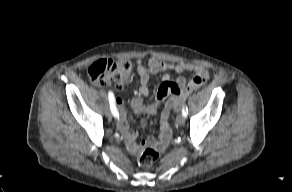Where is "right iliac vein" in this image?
<instances>
[{
  "label": "right iliac vein",
  "instance_id": "obj_1",
  "mask_svg": "<svg viewBox=\"0 0 292 192\" xmlns=\"http://www.w3.org/2000/svg\"><path fill=\"white\" fill-rule=\"evenodd\" d=\"M105 114L108 118L112 117L111 111L109 109H106Z\"/></svg>",
  "mask_w": 292,
  "mask_h": 192
}]
</instances>
